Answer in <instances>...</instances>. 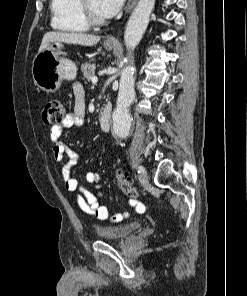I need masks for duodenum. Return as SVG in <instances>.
<instances>
[{
	"label": "duodenum",
	"instance_id": "obj_1",
	"mask_svg": "<svg viewBox=\"0 0 247 296\" xmlns=\"http://www.w3.org/2000/svg\"><path fill=\"white\" fill-rule=\"evenodd\" d=\"M99 124L103 132L109 133L112 125V107L106 103L99 115Z\"/></svg>",
	"mask_w": 247,
	"mask_h": 296
}]
</instances>
